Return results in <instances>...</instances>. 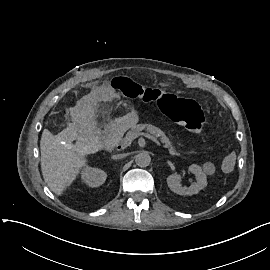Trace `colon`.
<instances>
[{
    "instance_id": "5ec220e1",
    "label": "colon",
    "mask_w": 270,
    "mask_h": 270,
    "mask_svg": "<svg viewBox=\"0 0 270 270\" xmlns=\"http://www.w3.org/2000/svg\"><path fill=\"white\" fill-rule=\"evenodd\" d=\"M114 90H119L126 97L151 104L156 103L161 113L175 121L188 131L200 132L205 128V119L200 106L193 99L179 97L170 92H162L154 88H146L127 77H114L110 81ZM219 169L225 175L236 169V159L230 153L219 159Z\"/></svg>"
}]
</instances>
